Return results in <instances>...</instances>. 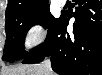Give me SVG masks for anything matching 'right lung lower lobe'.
Returning a JSON list of instances; mask_svg holds the SVG:
<instances>
[{
	"label": "right lung lower lobe",
	"mask_w": 102,
	"mask_h": 75,
	"mask_svg": "<svg viewBox=\"0 0 102 75\" xmlns=\"http://www.w3.org/2000/svg\"><path fill=\"white\" fill-rule=\"evenodd\" d=\"M73 1V33L66 32L70 16L62 14L44 43L25 57L23 64L51 56L52 69L60 75H102V1Z\"/></svg>",
	"instance_id": "98d812e1"
}]
</instances>
